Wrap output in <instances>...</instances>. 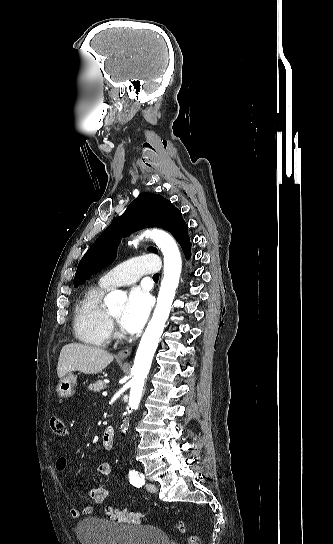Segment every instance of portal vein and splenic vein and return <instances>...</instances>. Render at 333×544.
I'll use <instances>...</instances> for the list:
<instances>
[{"label": "portal vein and splenic vein", "instance_id": "obj_1", "mask_svg": "<svg viewBox=\"0 0 333 544\" xmlns=\"http://www.w3.org/2000/svg\"><path fill=\"white\" fill-rule=\"evenodd\" d=\"M102 395H103L104 397H106V396H107V392H103Z\"/></svg>", "mask_w": 333, "mask_h": 544}]
</instances>
